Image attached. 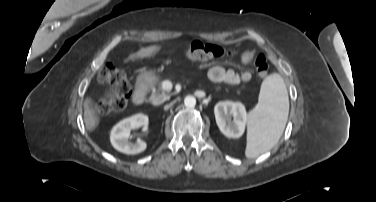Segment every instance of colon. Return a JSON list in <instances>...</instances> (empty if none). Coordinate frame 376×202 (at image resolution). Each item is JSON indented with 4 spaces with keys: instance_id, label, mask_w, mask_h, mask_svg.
Returning <instances> with one entry per match:
<instances>
[{
    "instance_id": "colon-1",
    "label": "colon",
    "mask_w": 376,
    "mask_h": 202,
    "mask_svg": "<svg viewBox=\"0 0 376 202\" xmlns=\"http://www.w3.org/2000/svg\"><path fill=\"white\" fill-rule=\"evenodd\" d=\"M184 55L197 61H209L233 55L234 51H228L223 46L202 41H192L184 48ZM250 50L245 53L249 54ZM254 66L259 78L264 79L269 74V66L262 54L254 58ZM98 80L102 84H109L113 87V93L97 103V111L101 114H109L124 109L131 96V85L125 73L113 64L104 65L99 74Z\"/></svg>"
}]
</instances>
